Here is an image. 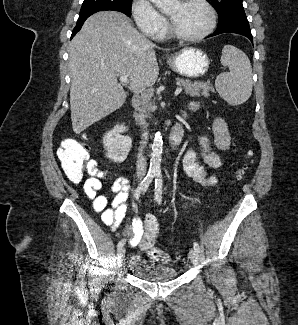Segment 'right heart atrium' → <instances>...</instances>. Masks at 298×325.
<instances>
[{"mask_svg":"<svg viewBox=\"0 0 298 325\" xmlns=\"http://www.w3.org/2000/svg\"><path fill=\"white\" fill-rule=\"evenodd\" d=\"M132 12L139 30H144L150 41H165L166 21L150 0H135Z\"/></svg>","mask_w":298,"mask_h":325,"instance_id":"obj_1","label":"right heart atrium"}]
</instances>
